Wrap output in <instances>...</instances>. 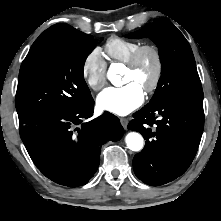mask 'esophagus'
Returning a JSON list of instances; mask_svg holds the SVG:
<instances>
[{
  "label": "esophagus",
  "mask_w": 221,
  "mask_h": 221,
  "mask_svg": "<svg viewBox=\"0 0 221 221\" xmlns=\"http://www.w3.org/2000/svg\"><path fill=\"white\" fill-rule=\"evenodd\" d=\"M120 122H121L122 126L126 129L127 125H128V122H129L128 118L121 117Z\"/></svg>",
  "instance_id": "esophagus-1"
}]
</instances>
